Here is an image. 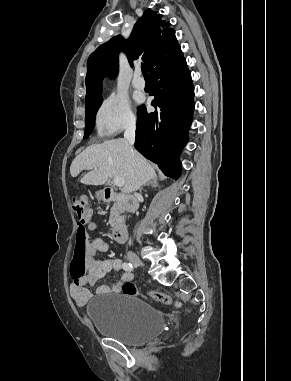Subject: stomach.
Returning a JSON list of instances; mask_svg holds the SVG:
<instances>
[{
	"label": "stomach",
	"mask_w": 291,
	"mask_h": 381,
	"mask_svg": "<svg viewBox=\"0 0 291 381\" xmlns=\"http://www.w3.org/2000/svg\"><path fill=\"white\" fill-rule=\"evenodd\" d=\"M97 197L100 199L101 197L99 195H97Z\"/></svg>",
	"instance_id": "stomach-1"
}]
</instances>
